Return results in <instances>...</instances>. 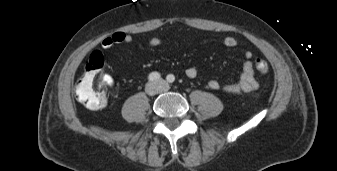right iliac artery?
<instances>
[{
  "label": "right iliac artery",
  "instance_id": "right-iliac-artery-1",
  "mask_svg": "<svg viewBox=\"0 0 337 171\" xmlns=\"http://www.w3.org/2000/svg\"><path fill=\"white\" fill-rule=\"evenodd\" d=\"M160 74L158 72H152L149 74L148 79L149 81H157L160 79Z\"/></svg>",
  "mask_w": 337,
  "mask_h": 171
}]
</instances>
